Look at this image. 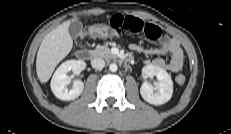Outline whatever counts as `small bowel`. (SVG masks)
<instances>
[{
	"mask_svg": "<svg viewBox=\"0 0 231 134\" xmlns=\"http://www.w3.org/2000/svg\"><path fill=\"white\" fill-rule=\"evenodd\" d=\"M109 26L121 33L124 31L143 33L148 39L158 41V46L144 47L143 43L132 45V49L151 55L169 54V60L156 58L148 62L152 67L166 69L177 73L182 70L184 55L179 42L164 33L155 24L143 21L135 16H124L121 14L113 15L109 20Z\"/></svg>",
	"mask_w": 231,
	"mask_h": 134,
	"instance_id": "c3829d8e",
	"label": "small bowel"
}]
</instances>
